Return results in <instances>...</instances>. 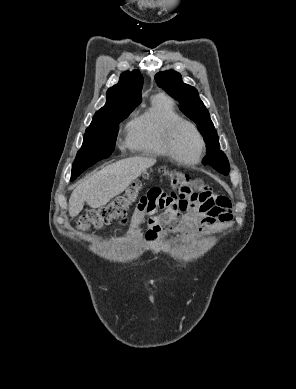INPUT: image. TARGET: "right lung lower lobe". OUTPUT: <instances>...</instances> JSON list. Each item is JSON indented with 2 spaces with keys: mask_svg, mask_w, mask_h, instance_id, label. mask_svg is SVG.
Listing matches in <instances>:
<instances>
[{
  "mask_svg": "<svg viewBox=\"0 0 296 389\" xmlns=\"http://www.w3.org/2000/svg\"><path fill=\"white\" fill-rule=\"evenodd\" d=\"M89 167L90 165H83L81 167L72 169L71 180L76 179L77 176H79L84 170H86Z\"/></svg>",
  "mask_w": 296,
  "mask_h": 389,
  "instance_id": "98d812e1",
  "label": "right lung lower lobe"
}]
</instances>
